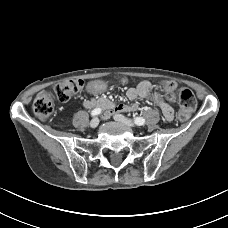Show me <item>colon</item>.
I'll return each mask as SVG.
<instances>
[{
  "mask_svg": "<svg viewBox=\"0 0 228 228\" xmlns=\"http://www.w3.org/2000/svg\"><path fill=\"white\" fill-rule=\"evenodd\" d=\"M81 79H67L54 88L55 95L61 102L68 101L83 87ZM164 90L174 95L179 103V118L187 120L196 108L197 100L191 90L187 88L177 89L176 83L171 80H163ZM35 116L40 120H47L53 112V96L48 92L39 93L32 105Z\"/></svg>",
  "mask_w": 228,
  "mask_h": 228,
  "instance_id": "colon-1",
  "label": "colon"
}]
</instances>
